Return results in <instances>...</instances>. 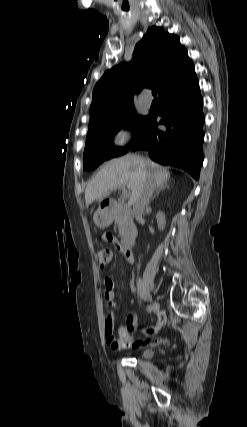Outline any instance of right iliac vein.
<instances>
[{
    "instance_id": "right-iliac-vein-1",
    "label": "right iliac vein",
    "mask_w": 247,
    "mask_h": 427,
    "mask_svg": "<svg viewBox=\"0 0 247 427\" xmlns=\"http://www.w3.org/2000/svg\"><path fill=\"white\" fill-rule=\"evenodd\" d=\"M152 307H153V312H154V313H158V312H159V310H160V305H159V303L154 302Z\"/></svg>"
}]
</instances>
